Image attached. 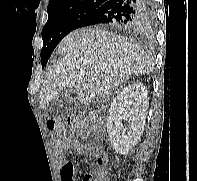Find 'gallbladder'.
Instances as JSON below:
<instances>
[{"mask_svg": "<svg viewBox=\"0 0 197 181\" xmlns=\"http://www.w3.org/2000/svg\"><path fill=\"white\" fill-rule=\"evenodd\" d=\"M74 89L72 87H68L64 90V92L57 97L56 99H54L50 105H49V109L51 110H56V111H64V109L66 110L67 108H72L75 105V101L72 98V95L74 94Z\"/></svg>", "mask_w": 197, "mask_h": 181, "instance_id": "obj_1", "label": "gallbladder"}]
</instances>
